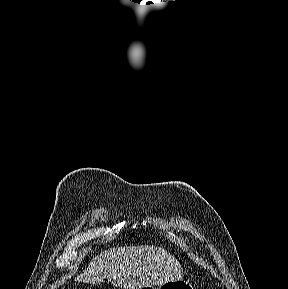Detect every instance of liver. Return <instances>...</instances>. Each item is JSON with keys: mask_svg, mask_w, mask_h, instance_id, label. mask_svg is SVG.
Segmentation results:
<instances>
[{"mask_svg": "<svg viewBox=\"0 0 288 289\" xmlns=\"http://www.w3.org/2000/svg\"><path fill=\"white\" fill-rule=\"evenodd\" d=\"M179 261L157 246H121L96 256L76 282L101 284L108 279L124 289H142L182 279Z\"/></svg>", "mask_w": 288, "mask_h": 289, "instance_id": "6515ba94", "label": "liver"}]
</instances>
